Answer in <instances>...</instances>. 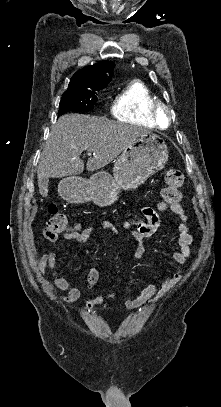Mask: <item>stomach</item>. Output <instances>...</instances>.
Returning <instances> with one entry per match:
<instances>
[{
    "instance_id": "obj_1",
    "label": "stomach",
    "mask_w": 221,
    "mask_h": 407,
    "mask_svg": "<svg viewBox=\"0 0 221 407\" xmlns=\"http://www.w3.org/2000/svg\"><path fill=\"white\" fill-rule=\"evenodd\" d=\"M168 161L164 139L148 132L124 149L113 167V175L105 171L93 174L88 180L70 176L59 184L61 196L69 203L92 201L100 207L113 204L121 190H133L150 176L162 170Z\"/></svg>"
}]
</instances>
